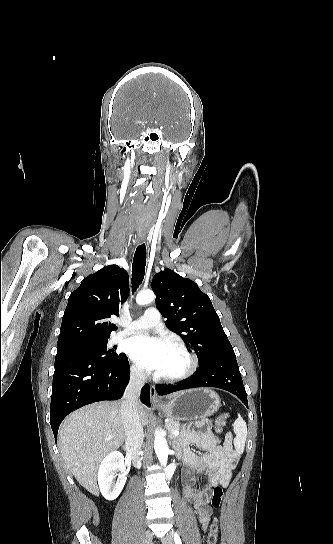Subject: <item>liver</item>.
Segmentation results:
<instances>
[{
  "instance_id": "liver-1",
  "label": "liver",
  "mask_w": 333,
  "mask_h": 544,
  "mask_svg": "<svg viewBox=\"0 0 333 544\" xmlns=\"http://www.w3.org/2000/svg\"><path fill=\"white\" fill-rule=\"evenodd\" d=\"M139 415L142 425L148 424L149 413L143 405L139 406ZM58 438L62 458L74 477L87 491L98 495L99 463L125 438L120 402H98L73 412L62 423Z\"/></svg>"
}]
</instances>
